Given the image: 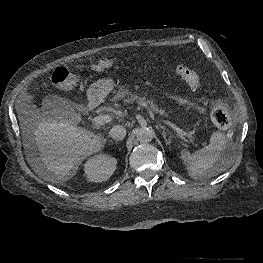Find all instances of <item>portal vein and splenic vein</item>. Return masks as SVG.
I'll use <instances>...</instances> for the list:
<instances>
[{"mask_svg":"<svg viewBox=\"0 0 263 263\" xmlns=\"http://www.w3.org/2000/svg\"><path fill=\"white\" fill-rule=\"evenodd\" d=\"M111 120H112V117L110 115H99V116H96V117H94L92 119V123H93L94 126H101V125H105L106 123L110 122ZM163 122L166 125H168L171 128H173L177 133L191 138V133H187V132L183 131L182 129L177 127L172 122H170L168 120H163Z\"/></svg>","mask_w":263,"mask_h":263,"instance_id":"portal-vein-and-splenic-vein-1","label":"portal vein and splenic vein"}]
</instances>
